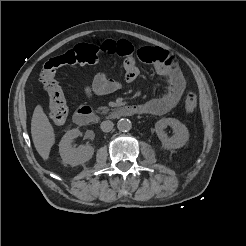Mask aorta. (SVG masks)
<instances>
[{
  "label": "aorta",
  "mask_w": 246,
  "mask_h": 246,
  "mask_svg": "<svg viewBox=\"0 0 246 246\" xmlns=\"http://www.w3.org/2000/svg\"><path fill=\"white\" fill-rule=\"evenodd\" d=\"M132 127L131 121L127 118H121L117 122V128L119 131L126 132L129 131Z\"/></svg>",
  "instance_id": "1"
}]
</instances>
